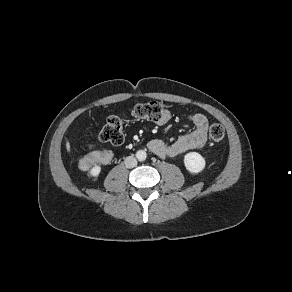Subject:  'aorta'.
<instances>
[{"label":"aorta","instance_id":"obj_1","mask_svg":"<svg viewBox=\"0 0 292 292\" xmlns=\"http://www.w3.org/2000/svg\"><path fill=\"white\" fill-rule=\"evenodd\" d=\"M136 157L139 161H144L147 157V154L144 150H139L136 152Z\"/></svg>","mask_w":292,"mask_h":292}]
</instances>
